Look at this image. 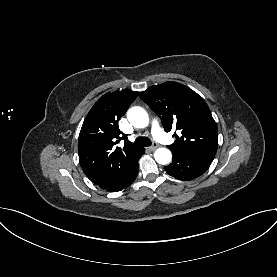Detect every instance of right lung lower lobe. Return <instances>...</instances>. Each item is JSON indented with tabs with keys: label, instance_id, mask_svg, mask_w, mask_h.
<instances>
[{
	"label": "right lung lower lobe",
	"instance_id": "obj_1",
	"mask_svg": "<svg viewBox=\"0 0 277 277\" xmlns=\"http://www.w3.org/2000/svg\"><path fill=\"white\" fill-rule=\"evenodd\" d=\"M144 152H145V150H143L141 155H143ZM141 155H140V157H141ZM139 158L130 166L129 169L126 170V172L117 181H115L106 190L109 192H117V191L122 190L123 188H127L128 186H130L134 182V180L136 179L137 174H138Z\"/></svg>",
	"mask_w": 277,
	"mask_h": 277
}]
</instances>
